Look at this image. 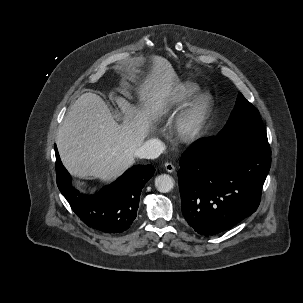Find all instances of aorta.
Returning <instances> with one entry per match:
<instances>
[{
  "instance_id": "aorta-1",
  "label": "aorta",
  "mask_w": 303,
  "mask_h": 303,
  "mask_svg": "<svg viewBox=\"0 0 303 303\" xmlns=\"http://www.w3.org/2000/svg\"><path fill=\"white\" fill-rule=\"evenodd\" d=\"M155 187L161 193H167L174 187V180L168 174H162L155 178Z\"/></svg>"
}]
</instances>
